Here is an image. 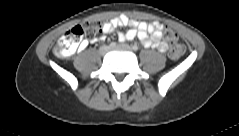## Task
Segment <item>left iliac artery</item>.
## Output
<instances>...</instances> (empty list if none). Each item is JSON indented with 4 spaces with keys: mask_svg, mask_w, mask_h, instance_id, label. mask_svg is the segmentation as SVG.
<instances>
[{
    "mask_svg": "<svg viewBox=\"0 0 239 136\" xmlns=\"http://www.w3.org/2000/svg\"><path fill=\"white\" fill-rule=\"evenodd\" d=\"M132 48H133L134 51L138 50V47L136 45H134Z\"/></svg>",
    "mask_w": 239,
    "mask_h": 136,
    "instance_id": "44dca946",
    "label": "left iliac artery"
}]
</instances>
